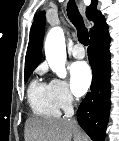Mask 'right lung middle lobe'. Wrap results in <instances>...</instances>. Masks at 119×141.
<instances>
[{
	"instance_id": "obj_1",
	"label": "right lung middle lobe",
	"mask_w": 119,
	"mask_h": 141,
	"mask_svg": "<svg viewBox=\"0 0 119 141\" xmlns=\"http://www.w3.org/2000/svg\"><path fill=\"white\" fill-rule=\"evenodd\" d=\"M32 71L31 72H25L24 73V76H25V81L28 80L29 76L31 75Z\"/></svg>"
}]
</instances>
